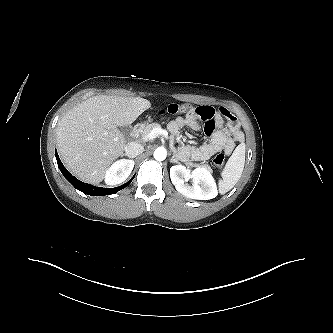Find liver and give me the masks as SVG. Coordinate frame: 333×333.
<instances>
[{
    "label": "liver",
    "mask_w": 333,
    "mask_h": 333,
    "mask_svg": "<svg viewBox=\"0 0 333 333\" xmlns=\"http://www.w3.org/2000/svg\"><path fill=\"white\" fill-rule=\"evenodd\" d=\"M150 107L140 97L97 95L68 111L57 124V146L68 170L84 182L100 183L123 156L126 141L117 127L132 124Z\"/></svg>",
    "instance_id": "6515ba94"
}]
</instances>
